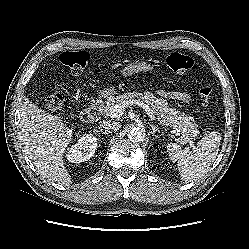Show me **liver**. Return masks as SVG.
Masks as SVG:
<instances>
[{"mask_svg": "<svg viewBox=\"0 0 249 249\" xmlns=\"http://www.w3.org/2000/svg\"><path fill=\"white\" fill-rule=\"evenodd\" d=\"M20 139L25 153L40 175L69 185L71 178L63 163L72 131L56 116L46 113L27 98L20 105Z\"/></svg>", "mask_w": 249, "mask_h": 249, "instance_id": "6515ba94", "label": "liver"}]
</instances>
